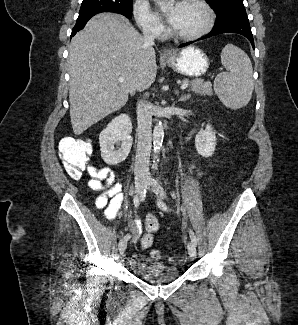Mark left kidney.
Returning a JSON list of instances; mask_svg holds the SVG:
<instances>
[{
	"label": "left kidney",
	"instance_id": "obj_1",
	"mask_svg": "<svg viewBox=\"0 0 298 325\" xmlns=\"http://www.w3.org/2000/svg\"><path fill=\"white\" fill-rule=\"evenodd\" d=\"M195 146L201 156H212L216 146V134L212 124L208 122L205 130H200L195 136Z\"/></svg>",
	"mask_w": 298,
	"mask_h": 325
}]
</instances>
